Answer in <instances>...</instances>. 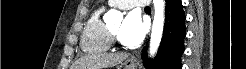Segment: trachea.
<instances>
[{
    "label": "trachea",
    "mask_w": 246,
    "mask_h": 69,
    "mask_svg": "<svg viewBox=\"0 0 246 69\" xmlns=\"http://www.w3.org/2000/svg\"><path fill=\"white\" fill-rule=\"evenodd\" d=\"M145 9H148V10H149V9H150V7H148V6H147Z\"/></svg>",
    "instance_id": "trachea-1"
}]
</instances>
